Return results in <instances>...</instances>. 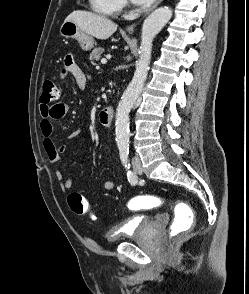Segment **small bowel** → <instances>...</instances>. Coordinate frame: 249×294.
I'll list each match as a JSON object with an SVG mask.
<instances>
[{
    "label": "small bowel",
    "mask_w": 249,
    "mask_h": 294,
    "mask_svg": "<svg viewBox=\"0 0 249 294\" xmlns=\"http://www.w3.org/2000/svg\"><path fill=\"white\" fill-rule=\"evenodd\" d=\"M70 74L77 87L83 88L86 83V74L83 70L74 62L71 55L66 56L63 63L62 75L65 77ZM69 111V104L65 101H59L53 104L41 103L40 105V123L39 127L44 139V149L48 160L51 163H58L61 158V154L66 151V146L57 145L55 142V123L63 119ZM83 130L77 129L68 133L65 138L68 140L75 139L83 135ZM54 176L62 191L69 190L73 185L72 177H65L64 172L61 169L54 171ZM116 188L114 181L108 180L104 183V189L106 191H113Z\"/></svg>",
    "instance_id": "obj_1"
}]
</instances>
